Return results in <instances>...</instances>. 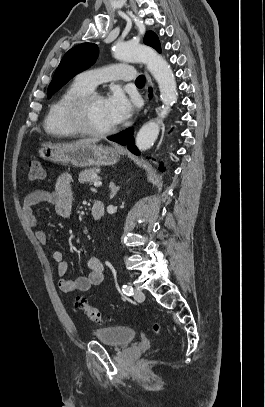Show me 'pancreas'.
Listing matches in <instances>:
<instances>
[{"label":"pancreas","mask_w":265,"mask_h":407,"mask_svg":"<svg viewBox=\"0 0 265 407\" xmlns=\"http://www.w3.org/2000/svg\"><path fill=\"white\" fill-rule=\"evenodd\" d=\"M99 168H91V169H86L82 171L79 174V182L84 184V183H92L95 180H98L99 178L97 177V174L99 173Z\"/></svg>","instance_id":"obj_1"}]
</instances>
